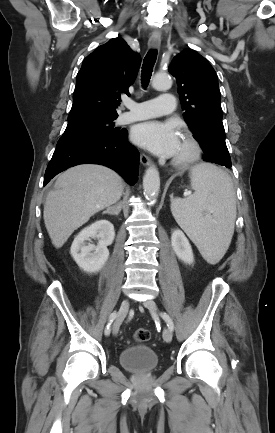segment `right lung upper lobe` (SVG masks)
Wrapping results in <instances>:
<instances>
[{
    "instance_id": "cb5924a9",
    "label": "right lung upper lobe",
    "mask_w": 275,
    "mask_h": 433,
    "mask_svg": "<svg viewBox=\"0 0 275 433\" xmlns=\"http://www.w3.org/2000/svg\"><path fill=\"white\" fill-rule=\"evenodd\" d=\"M140 66V56L122 38L110 39L88 55L76 77L68 118L85 115L118 116L117 99L129 93Z\"/></svg>"
}]
</instances>
